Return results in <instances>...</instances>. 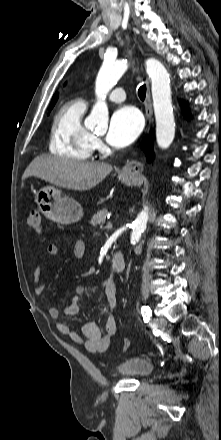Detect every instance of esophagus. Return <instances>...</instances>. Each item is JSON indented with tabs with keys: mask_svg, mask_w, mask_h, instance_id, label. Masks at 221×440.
Instances as JSON below:
<instances>
[{
	"mask_svg": "<svg viewBox=\"0 0 221 440\" xmlns=\"http://www.w3.org/2000/svg\"><path fill=\"white\" fill-rule=\"evenodd\" d=\"M152 114H153V110L151 103L150 86H149V81L146 80L145 116L149 124L152 121ZM143 169H144L143 164L140 161L131 160L124 165L122 172L126 175L137 177L142 174Z\"/></svg>",
	"mask_w": 221,
	"mask_h": 440,
	"instance_id": "1",
	"label": "esophagus"
}]
</instances>
